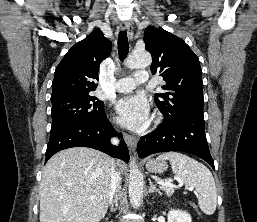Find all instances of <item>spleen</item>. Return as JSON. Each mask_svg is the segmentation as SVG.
I'll use <instances>...</instances> for the list:
<instances>
[{"mask_svg": "<svg viewBox=\"0 0 257 222\" xmlns=\"http://www.w3.org/2000/svg\"><path fill=\"white\" fill-rule=\"evenodd\" d=\"M158 159L169 160L175 178L198 192V205L201 211L212 215L217 205V190L210 170L195 159L178 152L159 155Z\"/></svg>", "mask_w": 257, "mask_h": 222, "instance_id": "3e777b00", "label": "spleen"}]
</instances>
